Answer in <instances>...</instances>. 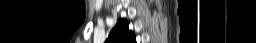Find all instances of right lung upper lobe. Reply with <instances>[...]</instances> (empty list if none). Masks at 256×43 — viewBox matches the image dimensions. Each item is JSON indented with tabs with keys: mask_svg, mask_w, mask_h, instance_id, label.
<instances>
[{
	"mask_svg": "<svg viewBox=\"0 0 256 43\" xmlns=\"http://www.w3.org/2000/svg\"><path fill=\"white\" fill-rule=\"evenodd\" d=\"M107 43H136L135 35L129 30V23L120 19L111 31Z\"/></svg>",
	"mask_w": 256,
	"mask_h": 43,
	"instance_id": "obj_1",
	"label": "right lung upper lobe"
}]
</instances>
